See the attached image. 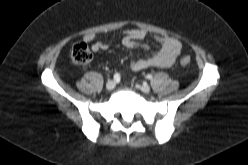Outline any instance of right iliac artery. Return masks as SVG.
Instances as JSON below:
<instances>
[{
	"instance_id": "1",
	"label": "right iliac artery",
	"mask_w": 248,
	"mask_h": 165,
	"mask_svg": "<svg viewBox=\"0 0 248 165\" xmlns=\"http://www.w3.org/2000/svg\"><path fill=\"white\" fill-rule=\"evenodd\" d=\"M113 78H114V80L119 81L120 80V74L116 73Z\"/></svg>"
}]
</instances>
